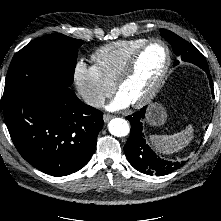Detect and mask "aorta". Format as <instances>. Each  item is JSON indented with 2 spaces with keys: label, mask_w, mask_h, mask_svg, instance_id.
Instances as JSON below:
<instances>
[{
  "label": "aorta",
  "mask_w": 221,
  "mask_h": 221,
  "mask_svg": "<svg viewBox=\"0 0 221 221\" xmlns=\"http://www.w3.org/2000/svg\"><path fill=\"white\" fill-rule=\"evenodd\" d=\"M109 132L116 137H123L128 135L130 126L125 119L114 118L108 124Z\"/></svg>",
  "instance_id": "762f6f07"
}]
</instances>
